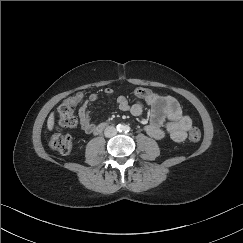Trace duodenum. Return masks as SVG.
Listing matches in <instances>:
<instances>
[{
	"label": "duodenum",
	"instance_id": "obj_1",
	"mask_svg": "<svg viewBox=\"0 0 243 243\" xmlns=\"http://www.w3.org/2000/svg\"><path fill=\"white\" fill-rule=\"evenodd\" d=\"M105 127V124H101L99 127L96 128V133H99L103 130V128Z\"/></svg>",
	"mask_w": 243,
	"mask_h": 243
}]
</instances>
